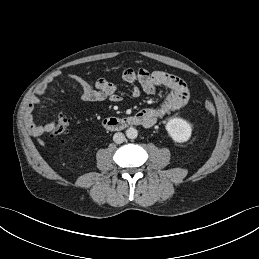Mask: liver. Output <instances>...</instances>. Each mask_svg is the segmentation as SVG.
Wrapping results in <instances>:
<instances>
[{
    "label": "liver",
    "mask_w": 259,
    "mask_h": 259,
    "mask_svg": "<svg viewBox=\"0 0 259 259\" xmlns=\"http://www.w3.org/2000/svg\"><path fill=\"white\" fill-rule=\"evenodd\" d=\"M38 142L40 145L45 146V143L42 140L38 139Z\"/></svg>",
    "instance_id": "obj_1"
}]
</instances>
